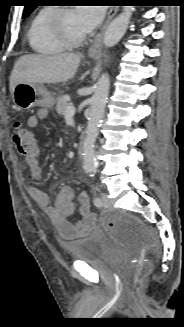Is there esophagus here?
<instances>
[{
    "instance_id": "esophagus-1",
    "label": "esophagus",
    "mask_w": 184,
    "mask_h": 327,
    "mask_svg": "<svg viewBox=\"0 0 184 327\" xmlns=\"http://www.w3.org/2000/svg\"><path fill=\"white\" fill-rule=\"evenodd\" d=\"M117 11H118L117 7L110 8V10L108 12L107 19H106L101 31L97 34V36L94 39V42L92 43V45L90 46V48L88 50V55L89 56L101 55V52H102V38H103L104 31H105L106 27L108 26V24L110 23V21L116 15Z\"/></svg>"
}]
</instances>
